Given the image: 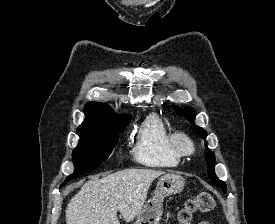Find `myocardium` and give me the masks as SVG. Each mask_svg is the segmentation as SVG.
<instances>
[{
  "mask_svg": "<svg viewBox=\"0 0 275 224\" xmlns=\"http://www.w3.org/2000/svg\"><path fill=\"white\" fill-rule=\"evenodd\" d=\"M171 146L180 157L190 156L195 152L193 139L185 132L178 131L171 134Z\"/></svg>",
  "mask_w": 275,
  "mask_h": 224,
  "instance_id": "f54148a6",
  "label": "myocardium"
}]
</instances>
